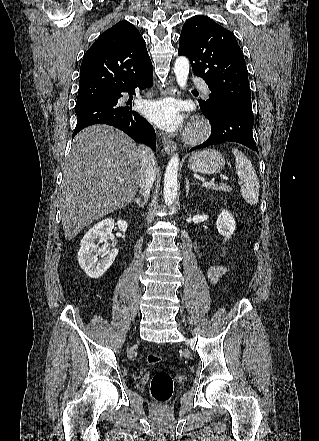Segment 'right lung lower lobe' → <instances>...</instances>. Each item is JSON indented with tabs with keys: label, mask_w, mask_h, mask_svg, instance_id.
Wrapping results in <instances>:
<instances>
[{
	"label": "right lung lower lobe",
	"mask_w": 319,
	"mask_h": 441,
	"mask_svg": "<svg viewBox=\"0 0 319 441\" xmlns=\"http://www.w3.org/2000/svg\"><path fill=\"white\" fill-rule=\"evenodd\" d=\"M152 71L137 81L126 85L114 94L88 103L76 109L77 125L72 138L83 128L93 124H107L114 126L128 134L136 142L144 143L155 150L156 137L153 127L129 107L117 105L122 92L135 94V88L144 89L153 84Z\"/></svg>",
	"instance_id": "98d812e1"
}]
</instances>
